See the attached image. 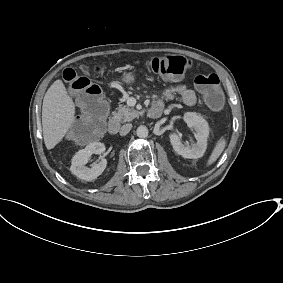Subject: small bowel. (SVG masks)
Wrapping results in <instances>:
<instances>
[{
  "mask_svg": "<svg viewBox=\"0 0 283 283\" xmlns=\"http://www.w3.org/2000/svg\"><path fill=\"white\" fill-rule=\"evenodd\" d=\"M164 96L168 100H172L178 96L184 104L189 106L194 105L197 101L195 92L185 84H179L166 88L164 90ZM155 104L162 106V101L157 100Z\"/></svg>",
  "mask_w": 283,
  "mask_h": 283,
  "instance_id": "1",
  "label": "small bowel"
}]
</instances>
